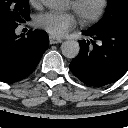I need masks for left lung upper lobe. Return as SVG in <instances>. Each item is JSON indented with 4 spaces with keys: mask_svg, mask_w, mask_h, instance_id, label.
Masks as SVG:
<instances>
[{
    "mask_svg": "<svg viewBox=\"0 0 128 128\" xmlns=\"http://www.w3.org/2000/svg\"><path fill=\"white\" fill-rule=\"evenodd\" d=\"M125 26H128V0H108L107 12L103 19L90 29L106 33Z\"/></svg>",
    "mask_w": 128,
    "mask_h": 128,
    "instance_id": "5c2ea615",
    "label": "left lung upper lobe"
}]
</instances>
